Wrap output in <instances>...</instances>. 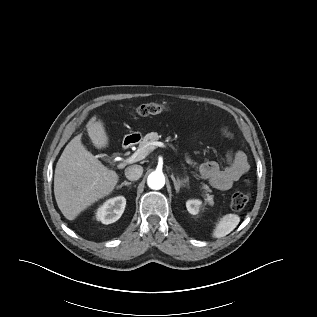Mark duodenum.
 I'll use <instances>...</instances> for the list:
<instances>
[{"label": "duodenum", "instance_id": "duodenum-1", "mask_svg": "<svg viewBox=\"0 0 317 317\" xmlns=\"http://www.w3.org/2000/svg\"><path fill=\"white\" fill-rule=\"evenodd\" d=\"M139 141V135L137 134H134V135H130V136H127L124 140H123V148L126 150V149H129L131 148L133 145H135L137 142Z\"/></svg>", "mask_w": 317, "mask_h": 317}]
</instances>
